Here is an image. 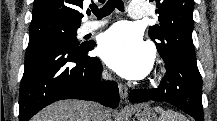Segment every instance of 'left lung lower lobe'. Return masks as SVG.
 <instances>
[{
    "instance_id": "obj_1",
    "label": "left lung lower lobe",
    "mask_w": 217,
    "mask_h": 121,
    "mask_svg": "<svg viewBox=\"0 0 217 121\" xmlns=\"http://www.w3.org/2000/svg\"><path fill=\"white\" fill-rule=\"evenodd\" d=\"M164 61L167 71L160 86L153 89L132 90L130 102H167L191 115L196 121H204L202 79L196 59L174 54Z\"/></svg>"
}]
</instances>
